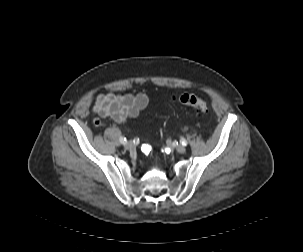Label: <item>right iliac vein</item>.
<instances>
[{"instance_id":"1","label":"right iliac vein","mask_w":303,"mask_h":252,"mask_svg":"<svg viewBox=\"0 0 303 252\" xmlns=\"http://www.w3.org/2000/svg\"><path fill=\"white\" fill-rule=\"evenodd\" d=\"M124 148L131 150L133 148V143L131 141L124 143Z\"/></svg>"}]
</instances>
